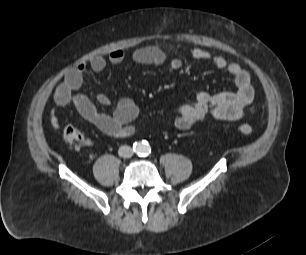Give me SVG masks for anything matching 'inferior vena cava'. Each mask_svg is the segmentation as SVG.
Wrapping results in <instances>:
<instances>
[{
    "instance_id": "obj_1",
    "label": "inferior vena cava",
    "mask_w": 306,
    "mask_h": 255,
    "mask_svg": "<svg viewBox=\"0 0 306 255\" xmlns=\"http://www.w3.org/2000/svg\"><path fill=\"white\" fill-rule=\"evenodd\" d=\"M118 154L123 158H130L133 155V150L130 146L123 145L119 148Z\"/></svg>"
}]
</instances>
